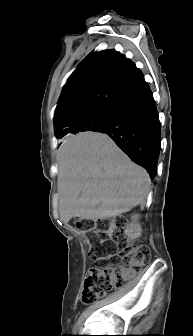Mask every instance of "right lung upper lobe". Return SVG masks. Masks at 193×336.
Returning <instances> with one entry per match:
<instances>
[{
    "label": "right lung upper lobe",
    "instance_id": "obj_1",
    "mask_svg": "<svg viewBox=\"0 0 193 336\" xmlns=\"http://www.w3.org/2000/svg\"><path fill=\"white\" fill-rule=\"evenodd\" d=\"M139 69L115 50L90 53L69 77L55 111V134H76L73 122L109 108L138 74Z\"/></svg>",
    "mask_w": 193,
    "mask_h": 336
}]
</instances>
